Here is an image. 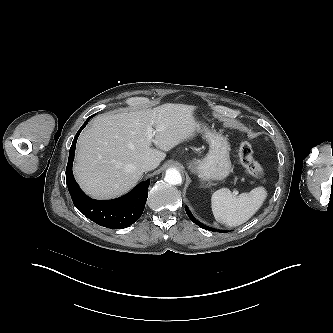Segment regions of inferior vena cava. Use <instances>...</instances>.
<instances>
[{"instance_id":"1","label":"inferior vena cava","mask_w":333,"mask_h":333,"mask_svg":"<svg viewBox=\"0 0 333 333\" xmlns=\"http://www.w3.org/2000/svg\"><path fill=\"white\" fill-rule=\"evenodd\" d=\"M159 165V161L155 159H146L141 163L143 171H149L155 169Z\"/></svg>"}]
</instances>
